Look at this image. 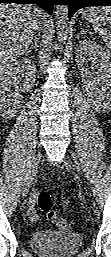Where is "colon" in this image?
<instances>
[{
	"label": "colon",
	"mask_w": 111,
	"mask_h": 257,
	"mask_svg": "<svg viewBox=\"0 0 111 257\" xmlns=\"http://www.w3.org/2000/svg\"><path fill=\"white\" fill-rule=\"evenodd\" d=\"M37 204L39 209L45 213L47 219L59 229L64 231L72 229L73 224L67 219L60 217L53 209L52 197L49 192L41 191L37 196Z\"/></svg>",
	"instance_id": "1"
}]
</instances>
